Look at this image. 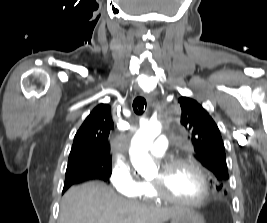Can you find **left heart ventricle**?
<instances>
[{
  "mask_svg": "<svg viewBox=\"0 0 267 223\" xmlns=\"http://www.w3.org/2000/svg\"><path fill=\"white\" fill-rule=\"evenodd\" d=\"M160 171L153 178L158 180ZM164 187L172 196L183 200H195L202 196L204 185L201 177L190 166H179L164 177Z\"/></svg>",
  "mask_w": 267,
  "mask_h": 223,
  "instance_id": "left-heart-ventricle-1",
  "label": "left heart ventricle"
}]
</instances>
